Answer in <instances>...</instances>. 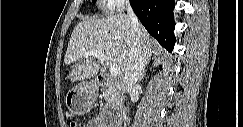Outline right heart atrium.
Listing matches in <instances>:
<instances>
[{
  "label": "right heart atrium",
  "mask_w": 243,
  "mask_h": 127,
  "mask_svg": "<svg viewBox=\"0 0 243 127\" xmlns=\"http://www.w3.org/2000/svg\"><path fill=\"white\" fill-rule=\"evenodd\" d=\"M106 11L108 13H117L124 9L128 1L126 0H104Z\"/></svg>",
  "instance_id": "d8ad5b80"
}]
</instances>
